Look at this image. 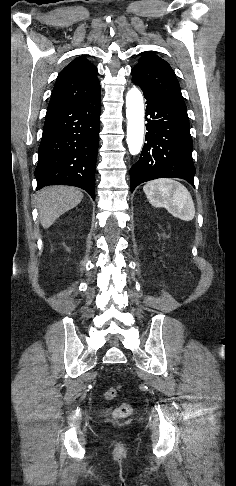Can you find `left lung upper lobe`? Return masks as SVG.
<instances>
[{
  "mask_svg": "<svg viewBox=\"0 0 236 486\" xmlns=\"http://www.w3.org/2000/svg\"><path fill=\"white\" fill-rule=\"evenodd\" d=\"M132 81L149 87L163 99L187 111L171 66L153 52H146L132 69Z\"/></svg>",
  "mask_w": 236,
  "mask_h": 486,
  "instance_id": "5c2ea615",
  "label": "left lung upper lobe"
}]
</instances>
